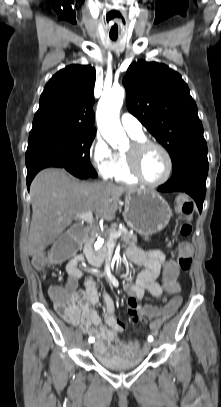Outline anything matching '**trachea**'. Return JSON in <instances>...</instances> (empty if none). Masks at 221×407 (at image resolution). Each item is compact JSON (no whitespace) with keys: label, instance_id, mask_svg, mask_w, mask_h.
Masks as SVG:
<instances>
[{"label":"trachea","instance_id":"obj_1","mask_svg":"<svg viewBox=\"0 0 221 407\" xmlns=\"http://www.w3.org/2000/svg\"><path fill=\"white\" fill-rule=\"evenodd\" d=\"M118 37H110L111 40L116 41Z\"/></svg>","mask_w":221,"mask_h":407}]
</instances>
